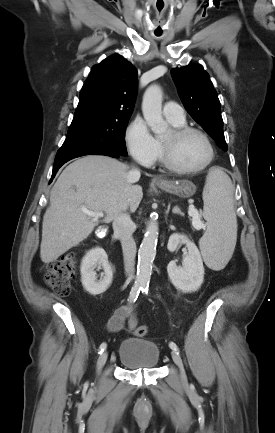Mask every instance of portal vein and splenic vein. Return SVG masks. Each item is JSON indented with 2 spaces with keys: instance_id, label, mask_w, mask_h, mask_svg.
I'll list each match as a JSON object with an SVG mask.
<instances>
[{
  "instance_id": "1",
  "label": "portal vein and splenic vein",
  "mask_w": 275,
  "mask_h": 433,
  "mask_svg": "<svg viewBox=\"0 0 275 433\" xmlns=\"http://www.w3.org/2000/svg\"><path fill=\"white\" fill-rule=\"evenodd\" d=\"M82 211L85 214H87L89 217L95 218V219H98V218H101V217L104 216L103 212H93V211H89L87 209H82ZM188 215L190 217H192V225H193V227L195 229H202V228H204V224L201 221L200 214L197 211V209H195L193 206L189 207Z\"/></svg>"
}]
</instances>
